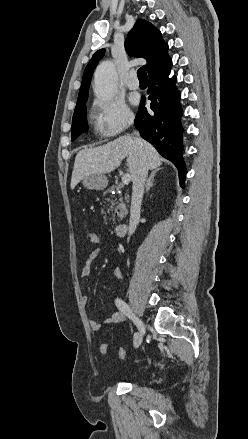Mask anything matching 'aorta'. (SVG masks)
I'll use <instances>...</instances> for the list:
<instances>
[{
  "mask_svg": "<svg viewBox=\"0 0 248 439\" xmlns=\"http://www.w3.org/2000/svg\"><path fill=\"white\" fill-rule=\"evenodd\" d=\"M117 88V72L111 61L102 62L94 74V92L104 101H109L115 96Z\"/></svg>",
  "mask_w": 248,
  "mask_h": 439,
  "instance_id": "762f6f07",
  "label": "aorta"
}]
</instances>
